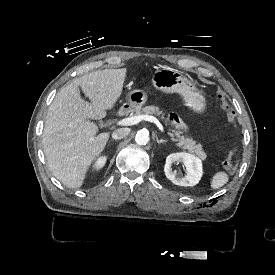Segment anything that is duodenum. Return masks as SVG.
Returning <instances> with one entry per match:
<instances>
[{
    "label": "duodenum",
    "mask_w": 275,
    "mask_h": 275,
    "mask_svg": "<svg viewBox=\"0 0 275 275\" xmlns=\"http://www.w3.org/2000/svg\"><path fill=\"white\" fill-rule=\"evenodd\" d=\"M129 110H130V106L124 105L118 109L117 116L119 117L124 116Z\"/></svg>",
    "instance_id": "1"
}]
</instances>
